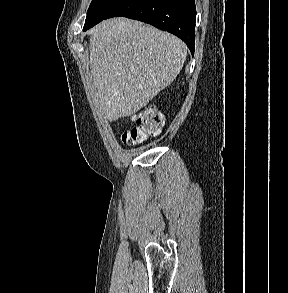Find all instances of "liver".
Returning a JSON list of instances; mask_svg holds the SVG:
<instances>
[{
	"label": "liver",
	"instance_id": "6515ba94",
	"mask_svg": "<svg viewBox=\"0 0 288 293\" xmlns=\"http://www.w3.org/2000/svg\"><path fill=\"white\" fill-rule=\"evenodd\" d=\"M90 70L105 116H131L170 85L187 56L177 37L142 22L113 18L90 30Z\"/></svg>",
	"mask_w": 288,
	"mask_h": 293
}]
</instances>
